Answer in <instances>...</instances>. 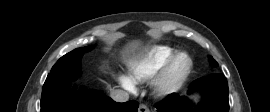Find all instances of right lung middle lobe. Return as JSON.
<instances>
[{
	"label": "right lung middle lobe",
	"mask_w": 270,
	"mask_h": 112,
	"mask_svg": "<svg viewBox=\"0 0 270 112\" xmlns=\"http://www.w3.org/2000/svg\"><path fill=\"white\" fill-rule=\"evenodd\" d=\"M91 47L77 48L61 57L52 67L45 82L60 85L67 80H76L80 74V60Z\"/></svg>",
	"instance_id": "obj_1"
}]
</instances>
